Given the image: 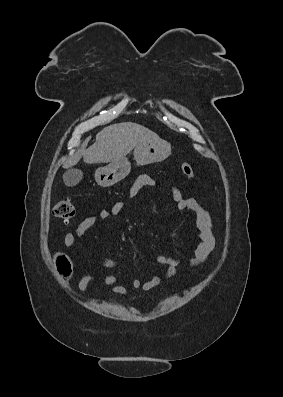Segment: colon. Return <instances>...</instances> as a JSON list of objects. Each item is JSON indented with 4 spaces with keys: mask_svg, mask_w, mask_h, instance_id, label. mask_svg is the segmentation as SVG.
<instances>
[{
    "mask_svg": "<svg viewBox=\"0 0 283 397\" xmlns=\"http://www.w3.org/2000/svg\"><path fill=\"white\" fill-rule=\"evenodd\" d=\"M183 176L191 180L194 177V170L190 163L184 162L180 166ZM54 215L63 221L71 220L75 215V208L69 199L60 200L54 207ZM54 261L58 273L67 281L73 274V263L70 256L64 252H57Z\"/></svg>",
    "mask_w": 283,
    "mask_h": 397,
    "instance_id": "5ec220e1",
    "label": "colon"
}]
</instances>
